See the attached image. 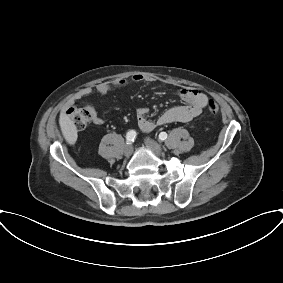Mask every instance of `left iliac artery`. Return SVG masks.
Here are the masks:
<instances>
[{"instance_id": "44dca946", "label": "left iliac artery", "mask_w": 283, "mask_h": 283, "mask_svg": "<svg viewBox=\"0 0 283 283\" xmlns=\"http://www.w3.org/2000/svg\"><path fill=\"white\" fill-rule=\"evenodd\" d=\"M159 139H160L161 141L166 140V139H167V133H166V132H161V133L159 134Z\"/></svg>"}]
</instances>
